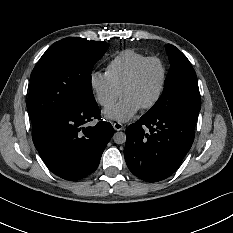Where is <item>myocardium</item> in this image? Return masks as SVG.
I'll return each instance as SVG.
<instances>
[{
  "instance_id": "myocardium-1",
  "label": "myocardium",
  "mask_w": 233,
  "mask_h": 233,
  "mask_svg": "<svg viewBox=\"0 0 233 233\" xmlns=\"http://www.w3.org/2000/svg\"><path fill=\"white\" fill-rule=\"evenodd\" d=\"M152 61H158L161 64L162 70H163V76H162V81H161L158 93L156 94L155 98L150 103H148V104H146L145 106L142 107L143 110L153 109L160 102V100L162 99V97L164 95L166 85H167V81H168V67H167L166 62L161 57H159V56H149V57L145 58L131 72V74L124 81V83L122 84L121 89H120V92L122 93L125 89L132 86L136 82L138 77L140 76V74L143 71V69L145 68V66L148 63L152 62Z\"/></svg>"
}]
</instances>
